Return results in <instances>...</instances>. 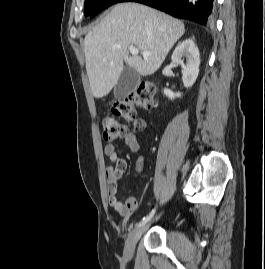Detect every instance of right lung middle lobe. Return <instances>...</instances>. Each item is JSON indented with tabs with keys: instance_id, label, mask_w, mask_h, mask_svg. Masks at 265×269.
<instances>
[{
	"instance_id": "dd1d6c3e",
	"label": "right lung middle lobe",
	"mask_w": 265,
	"mask_h": 269,
	"mask_svg": "<svg viewBox=\"0 0 265 269\" xmlns=\"http://www.w3.org/2000/svg\"><path fill=\"white\" fill-rule=\"evenodd\" d=\"M126 0H85V16L93 17L103 9Z\"/></svg>"
}]
</instances>
